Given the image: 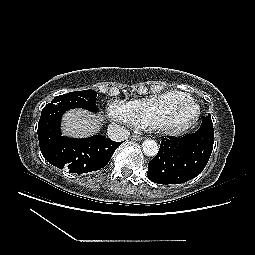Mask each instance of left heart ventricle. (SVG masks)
<instances>
[{"label": "left heart ventricle", "instance_id": "obj_1", "mask_svg": "<svg viewBox=\"0 0 255 255\" xmlns=\"http://www.w3.org/2000/svg\"><path fill=\"white\" fill-rule=\"evenodd\" d=\"M190 114L191 110L188 107L178 105L168 115V120L175 123L183 122L188 119Z\"/></svg>", "mask_w": 255, "mask_h": 255}]
</instances>
